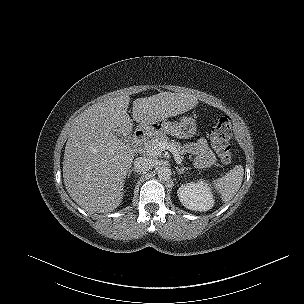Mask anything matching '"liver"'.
Returning a JSON list of instances; mask_svg holds the SVG:
<instances>
[{"instance_id": "1", "label": "liver", "mask_w": 304, "mask_h": 304, "mask_svg": "<svg viewBox=\"0 0 304 304\" xmlns=\"http://www.w3.org/2000/svg\"><path fill=\"white\" fill-rule=\"evenodd\" d=\"M130 98L121 95L96 103L76 120L67 140L63 178L71 198L86 212H110L123 198L124 179L135 157L125 143L131 136ZM191 94L159 93L133 102V120L152 125L193 109Z\"/></svg>"}]
</instances>
